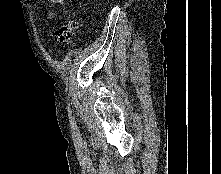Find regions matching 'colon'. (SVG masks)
Instances as JSON below:
<instances>
[{
    "mask_svg": "<svg viewBox=\"0 0 221 174\" xmlns=\"http://www.w3.org/2000/svg\"><path fill=\"white\" fill-rule=\"evenodd\" d=\"M77 21L69 17L64 20L55 32V41L59 44H68L77 33Z\"/></svg>",
    "mask_w": 221,
    "mask_h": 174,
    "instance_id": "colon-1",
    "label": "colon"
}]
</instances>
